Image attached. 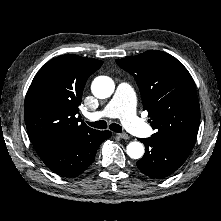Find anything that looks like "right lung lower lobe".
I'll use <instances>...</instances> for the list:
<instances>
[{"label":"right lung lower lobe","mask_w":221,"mask_h":221,"mask_svg":"<svg viewBox=\"0 0 221 221\" xmlns=\"http://www.w3.org/2000/svg\"><path fill=\"white\" fill-rule=\"evenodd\" d=\"M110 136V131L94 130L81 136H53L31 141L48 168L61 176L73 177L91 165L100 144Z\"/></svg>","instance_id":"98d812e1"}]
</instances>
